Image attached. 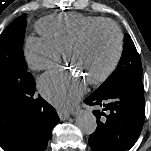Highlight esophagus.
<instances>
[{"label": "esophagus", "instance_id": "34e87169", "mask_svg": "<svg viewBox=\"0 0 151 151\" xmlns=\"http://www.w3.org/2000/svg\"><path fill=\"white\" fill-rule=\"evenodd\" d=\"M71 113L69 112H64V111H58V115H59V118L61 120H66L68 119V117L70 116Z\"/></svg>", "mask_w": 151, "mask_h": 151}]
</instances>
